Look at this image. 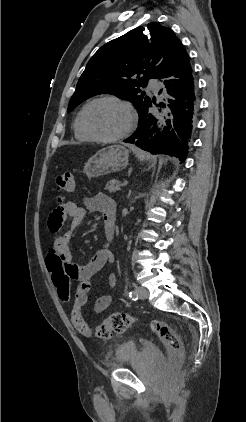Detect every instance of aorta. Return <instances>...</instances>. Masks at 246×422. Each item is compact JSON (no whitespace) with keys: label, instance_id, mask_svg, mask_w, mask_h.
Segmentation results:
<instances>
[{"label":"aorta","instance_id":"762f6f07","mask_svg":"<svg viewBox=\"0 0 246 422\" xmlns=\"http://www.w3.org/2000/svg\"><path fill=\"white\" fill-rule=\"evenodd\" d=\"M164 125H165V118H164V115H162V116L159 117L158 127L160 129H162L164 127Z\"/></svg>","mask_w":246,"mask_h":422}]
</instances>
